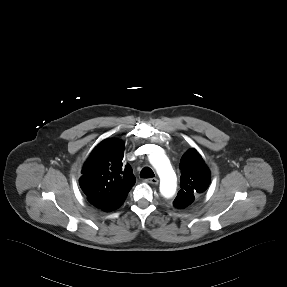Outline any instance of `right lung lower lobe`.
<instances>
[{
	"label": "right lung lower lobe",
	"instance_id": "1",
	"mask_svg": "<svg viewBox=\"0 0 287 287\" xmlns=\"http://www.w3.org/2000/svg\"><path fill=\"white\" fill-rule=\"evenodd\" d=\"M126 197L113 201H97V200H88V201L96 208L106 212H110L121 206L122 203L125 201Z\"/></svg>",
	"mask_w": 287,
	"mask_h": 287
}]
</instances>
